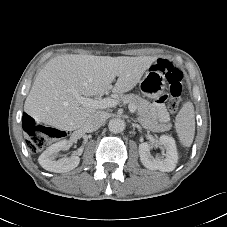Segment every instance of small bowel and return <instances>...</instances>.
<instances>
[{
  "label": "small bowel",
  "instance_id": "small-bowel-1",
  "mask_svg": "<svg viewBox=\"0 0 227 227\" xmlns=\"http://www.w3.org/2000/svg\"><path fill=\"white\" fill-rule=\"evenodd\" d=\"M168 100L169 95L167 93H162L160 95V99H157L151 106L152 114L158 121L162 123L168 120V113L164 106V102H167Z\"/></svg>",
  "mask_w": 227,
  "mask_h": 227
}]
</instances>
